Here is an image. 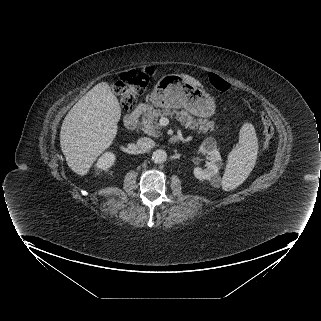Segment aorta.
Segmentation results:
<instances>
[{
	"mask_svg": "<svg viewBox=\"0 0 321 321\" xmlns=\"http://www.w3.org/2000/svg\"><path fill=\"white\" fill-rule=\"evenodd\" d=\"M152 160L155 163H164L167 160V153L163 149H157L152 154Z\"/></svg>",
	"mask_w": 321,
	"mask_h": 321,
	"instance_id": "aorta-1",
	"label": "aorta"
}]
</instances>
